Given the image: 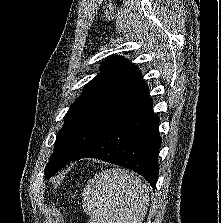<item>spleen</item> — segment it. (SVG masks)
<instances>
[{
    "label": "spleen",
    "instance_id": "1",
    "mask_svg": "<svg viewBox=\"0 0 221 223\" xmlns=\"http://www.w3.org/2000/svg\"><path fill=\"white\" fill-rule=\"evenodd\" d=\"M82 197L89 223H142L149 204L146 184L134 173L119 168L96 173Z\"/></svg>",
    "mask_w": 221,
    "mask_h": 223
}]
</instances>
